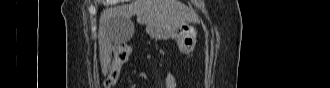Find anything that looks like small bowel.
<instances>
[{"instance_id": "1", "label": "small bowel", "mask_w": 330, "mask_h": 88, "mask_svg": "<svg viewBox=\"0 0 330 88\" xmlns=\"http://www.w3.org/2000/svg\"><path fill=\"white\" fill-rule=\"evenodd\" d=\"M119 53L121 55H128V58H129V55L131 53V49L129 47H127V46H123L122 45V46L119 47ZM166 83H167V88H175L176 85H177L175 76L173 74H169L167 76Z\"/></svg>"}]
</instances>
